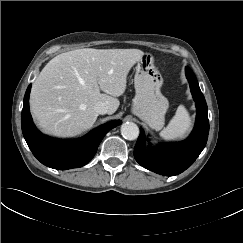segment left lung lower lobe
<instances>
[{"mask_svg": "<svg viewBox=\"0 0 243 243\" xmlns=\"http://www.w3.org/2000/svg\"><path fill=\"white\" fill-rule=\"evenodd\" d=\"M186 76L196 103L197 116L193 132L187 140L165 143L158 148L147 147L143 129L134 148L136 161L146 169L164 176L182 173L196 160L204 149L209 133L208 109L195 75L186 67Z\"/></svg>", "mask_w": 243, "mask_h": 243, "instance_id": "0a47b994", "label": "left lung lower lobe"}]
</instances>
